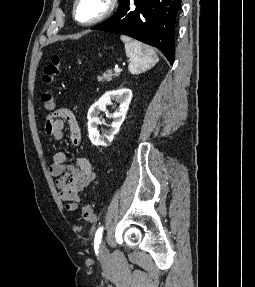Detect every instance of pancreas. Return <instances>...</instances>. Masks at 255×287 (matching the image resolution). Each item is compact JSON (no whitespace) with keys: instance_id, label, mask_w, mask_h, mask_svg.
<instances>
[{"instance_id":"1","label":"pancreas","mask_w":255,"mask_h":287,"mask_svg":"<svg viewBox=\"0 0 255 287\" xmlns=\"http://www.w3.org/2000/svg\"><path fill=\"white\" fill-rule=\"evenodd\" d=\"M117 76H119V72H117V74H113L112 70H108L106 74L97 76V80H99V82H111V80H113V78H117Z\"/></svg>"}]
</instances>
